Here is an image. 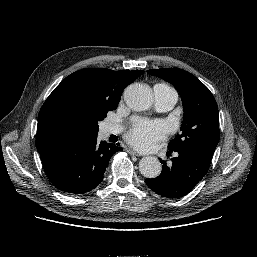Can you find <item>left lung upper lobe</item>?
<instances>
[{
    "label": "left lung upper lobe",
    "mask_w": 257,
    "mask_h": 257,
    "mask_svg": "<svg viewBox=\"0 0 257 257\" xmlns=\"http://www.w3.org/2000/svg\"><path fill=\"white\" fill-rule=\"evenodd\" d=\"M148 72L170 82L181 94L182 133L170 141L168 149H200L213 155L220 135L218 106L210 90L195 76L179 68L150 69Z\"/></svg>",
    "instance_id": "obj_1"
}]
</instances>
